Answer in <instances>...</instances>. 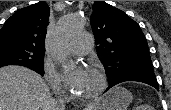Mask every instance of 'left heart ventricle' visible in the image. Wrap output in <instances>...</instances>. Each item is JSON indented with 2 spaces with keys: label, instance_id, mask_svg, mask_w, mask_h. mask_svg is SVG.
Segmentation results:
<instances>
[{
  "label": "left heart ventricle",
  "instance_id": "left-heart-ventricle-1",
  "mask_svg": "<svg viewBox=\"0 0 171 110\" xmlns=\"http://www.w3.org/2000/svg\"><path fill=\"white\" fill-rule=\"evenodd\" d=\"M99 86V78L92 70H87V74L74 93L85 96L93 93Z\"/></svg>",
  "mask_w": 171,
  "mask_h": 110
}]
</instances>
